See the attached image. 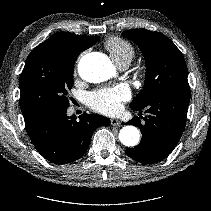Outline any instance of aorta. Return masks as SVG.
<instances>
[{
	"label": "aorta",
	"instance_id": "obj_1",
	"mask_svg": "<svg viewBox=\"0 0 211 211\" xmlns=\"http://www.w3.org/2000/svg\"><path fill=\"white\" fill-rule=\"evenodd\" d=\"M112 64L103 54H88L81 58L78 72L82 79L99 83L107 80L112 74ZM140 138L139 130L134 126H125L119 132V139L125 146H135Z\"/></svg>",
	"mask_w": 211,
	"mask_h": 211
}]
</instances>
